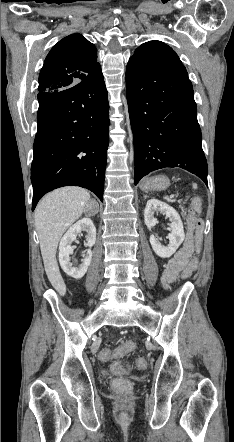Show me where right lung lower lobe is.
I'll use <instances>...</instances> for the list:
<instances>
[{
  "label": "right lung lower lobe",
  "instance_id": "1",
  "mask_svg": "<svg viewBox=\"0 0 234 442\" xmlns=\"http://www.w3.org/2000/svg\"><path fill=\"white\" fill-rule=\"evenodd\" d=\"M38 101L32 210L63 186L87 188L103 201L109 104L101 69L67 89L39 92Z\"/></svg>",
  "mask_w": 234,
  "mask_h": 442
}]
</instances>
